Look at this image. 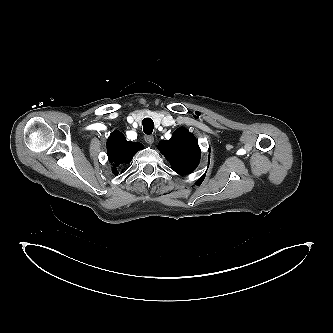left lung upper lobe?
I'll list each match as a JSON object with an SVG mask.
<instances>
[{
    "instance_id": "1",
    "label": "left lung upper lobe",
    "mask_w": 333,
    "mask_h": 333,
    "mask_svg": "<svg viewBox=\"0 0 333 333\" xmlns=\"http://www.w3.org/2000/svg\"><path fill=\"white\" fill-rule=\"evenodd\" d=\"M157 148L179 175L190 174L199 164L198 142L195 136L184 127L178 128L171 139L160 141Z\"/></svg>"
}]
</instances>
